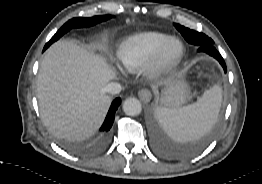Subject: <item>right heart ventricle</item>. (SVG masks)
Returning <instances> with one entry per match:
<instances>
[{"label": "right heart ventricle", "mask_w": 262, "mask_h": 184, "mask_svg": "<svg viewBox=\"0 0 262 184\" xmlns=\"http://www.w3.org/2000/svg\"><path fill=\"white\" fill-rule=\"evenodd\" d=\"M170 35L147 31L126 37L119 45L117 58L127 71L134 72L147 65Z\"/></svg>", "instance_id": "right-heart-ventricle-1"}]
</instances>
